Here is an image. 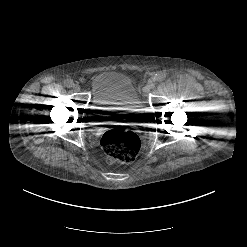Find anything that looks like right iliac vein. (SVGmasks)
Segmentation results:
<instances>
[{
	"label": "right iliac vein",
	"mask_w": 247,
	"mask_h": 247,
	"mask_svg": "<svg viewBox=\"0 0 247 247\" xmlns=\"http://www.w3.org/2000/svg\"><path fill=\"white\" fill-rule=\"evenodd\" d=\"M73 89L78 92L80 91V86L78 84H74Z\"/></svg>",
	"instance_id": "63e3f726"
}]
</instances>
